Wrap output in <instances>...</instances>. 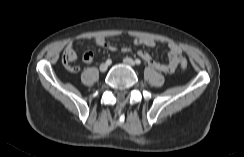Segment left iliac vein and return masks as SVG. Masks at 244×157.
Here are the masks:
<instances>
[{
  "instance_id": "obj_1",
  "label": "left iliac vein",
  "mask_w": 244,
  "mask_h": 157,
  "mask_svg": "<svg viewBox=\"0 0 244 157\" xmlns=\"http://www.w3.org/2000/svg\"><path fill=\"white\" fill-rule=\"evenodd\" d=\"M123 62L128 66L135 67V62L132 58L126 57L124 58Z\"/></svg>"
}]
</instances>
